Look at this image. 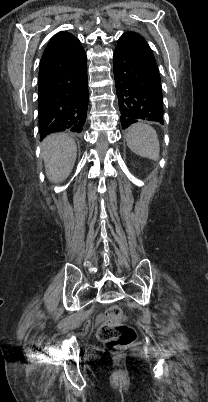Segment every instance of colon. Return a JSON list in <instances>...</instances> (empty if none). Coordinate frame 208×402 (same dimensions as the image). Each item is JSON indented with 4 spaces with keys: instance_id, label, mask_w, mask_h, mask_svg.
Masks as SVG:
<instances>
[{
    "instance_id": "colon-1",
    "label": "colon",
    "mask_w": 208,
    "mask_h": 402,
    "mask_svg": "<svg viewBox=\"0 0 208 402\" xmlns=\"http://www.w3.org/2000/svg\"><path fill=\"white\" fill-rule=\"evenodd\" d=\"M108 318L98 326V338L104 341L109 349L117 348L129 343L136 337L137 332L133 324H121V310L110 308L107 310Z\"/></svg>"
}]
</instances>
